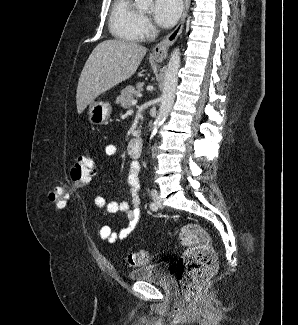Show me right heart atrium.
<instances>
[{"label": "right heart atrium", "mask_w": 298, "mask_h": 325, "mask_svg": "<svg viewBox=\"0 0 298 325\" xmlns=\"http://www.w3.org/2000/svg\"><path fill=\"white\" fill-rule=\"evenodd\" d=\"M139 27L144 30L146 33H152L153 32V26L151 22L149 21L148 17L145 15H142L139 21ZM142 30L136 31V36L138 41H150L151 36L150 34H143Z\"/></svg>", "instance_id": "obj_1"}]
</instances>
